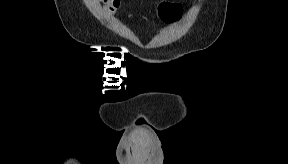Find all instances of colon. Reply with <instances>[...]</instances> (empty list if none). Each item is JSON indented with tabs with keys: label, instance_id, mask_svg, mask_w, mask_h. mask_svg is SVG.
Masks as SVG:
<instances>
[{
	"label": "colon",
	"instance_id": "obj_1",
	"mask_svg": "<svg viewBox=\"0 0 288 164\" xmlns=\"http://www.w3.org/2000/svg\"><path fill=\"white\" fill-rule=\"evenodd\" d=\"M161 15L163 19L168 23L178 22L182 18L181 8L176 5H171V4L163 5Z\"/></svg>",
	"mask_w": 288,
	"mask_h": 164
}]
</instances>
